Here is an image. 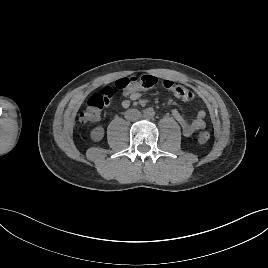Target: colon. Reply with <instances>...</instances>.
Instances as JSON below:
<instances>
[{
  "instance_id": "5ec220e1",
  "label": "colon",
  "mask_w": 268,
  "mask_h": 268,
  "mask_svg": "<svg viewBox=\"0 0 268 268\" xmlns=\"http://www.w3.org/2000/svg\"><path fill=\"white\" fill-rule=\"evenodd\" d=\"M158 83V79L152 75H142L125 77L116 81L115 87L126 93L132 90H147L153 88ZM163 87L166 91L172 93L177 98L192 102L194 101V93L182 85L176 84L171 80H164ZM114 88L106 86L101 92L91 95L87 101L85 109L80 114V120L84 123H95L100 120L103 109L110 103L113 98ZM210 134L207 131L201 132L197 140L200 144L209 141Z\"/></svg>"
}]
</instances>
